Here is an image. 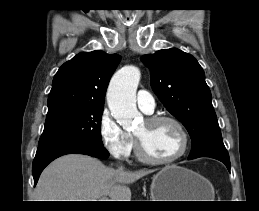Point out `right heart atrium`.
Listing matches in <instances>:
<instances>
[{
	"instance_id": "right-heart-atrium-1",
	"label": "right heart atrium",
	"mask_w": 259,
	"mask_h": 211,
	"mask_svg": "<svg viewBox=\"0 0 259 211\" xmlns=\"http://www.w3.org/2000/svg\"><path fill=\"white\" fill-rule=\"evenodd\" d=\"M99 135L104 148L114 158L125 160L130 156L134 140L120 127L107 109L102 111L99 118Z\"/></svg>"
}]
</instances>
